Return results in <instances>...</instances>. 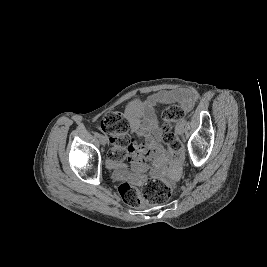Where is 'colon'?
I'll list each match as a JSON object with an SVG mask.
<instances>
[{
  "instance_id": "obj_1",
  "label": "colon",
  "mask_w": 267,
  "mask_h": 267,
  "mask_svg": "<svg viewBox=\"0 0 267 267\" xmlns=\"http://www.w3.org/2000/svg\"><path fill=\"white\" fill-rule=\"evenodd\" d=\"M184 114L185 110L181 106L170 105L163 110L161 115L162 122L158 126V131L167 150L175 155H180L182 143L173 132V126L184 117ZM100 127L110 137L109 161L113 164H118L125 160L131 152L133 143L128 134V121L120 113L109 112L102 118ZM118 191L124 202L130 206L138 205L141 197L147 202L162 204L167 202L172 195L171 186L158 179L148 180L142 194L127 182L121 183Z\"/></svg>"
}]
</instances>
